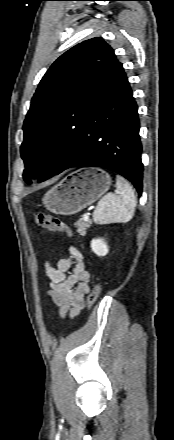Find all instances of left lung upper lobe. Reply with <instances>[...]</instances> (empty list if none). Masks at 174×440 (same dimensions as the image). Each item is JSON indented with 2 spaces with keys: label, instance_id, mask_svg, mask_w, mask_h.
I'll list each match as a JSON object with an SVG mask.
<instances>
[{
  "label": "left lung upper lobe",
  "instance_id": "obj_1",
  "mask_svg": "<svg viewBox=\"0 0 174 440\" xmlns=\"http://www.w3.org/2000/svg\"><path fill=\"white\" fill-rule=\"evenodd\" d=\"M118 60L102 39L72 47L48 69L24 121L23 178L31 183L57 175L77 154L90 109L108 86Z\"/></svg>",
  "mask_w": 174,
  "mask_h": 440
}]
</instances>
